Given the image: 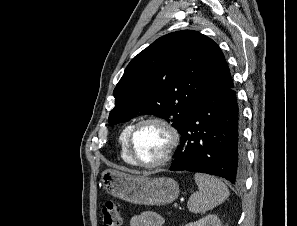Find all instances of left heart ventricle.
<instances>
[{"label": "left heart ventricle", "mask_w": 297, "mask_h": 226, "mask_svg": "<svg viewBox=\"0 0 297 226\" xmlns=\"http://www.w3.org/2000/svg\"><path fill=\"white\" fill-rule=\"evenodd\" d=\"M168 142L169 135L162 127L145 124L135 133L133 150L139 160L150 163L162 157Z\"/></svg>", "instance_id": "left-heart-ventricle-1"}]
</instances>
